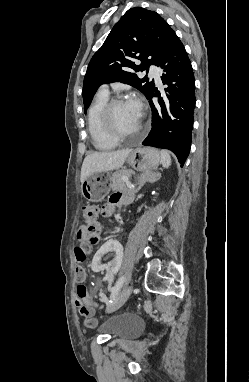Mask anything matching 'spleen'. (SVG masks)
Instances as JSON below:
<instances>
[{"label":"spleen","mask_w":249,"mask_h":382,"mask_svg":"<svg viewBox=\"0 0 249 382\" xmlns=\"http://www.w3.org/2000/svg\"><path fill=\"white\" fill-rule=\"evenodd\" d=\"M160 155H161V163H162V166L164 168H169L170 165H171V156H170V152L167 151V150H161L160 151Z\"/></svg>","instance_id":"spleen-1"}]
</instances>
